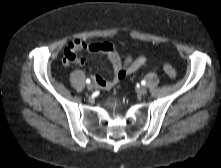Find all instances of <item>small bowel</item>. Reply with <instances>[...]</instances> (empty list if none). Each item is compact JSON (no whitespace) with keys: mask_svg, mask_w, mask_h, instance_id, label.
Here are the masks:
<instances>
[{"mask_svg":"<svg viewBox=\"0 0 221 168\" xmlns=\"http://www.w3.org/2000/svg\"><path fill=\"white\" fill-rule=\"evenodd\" d=\"M87 51L94 54H102L113 69V77L111 79H104L100 76L94 77L95 84L104 89L109 90L114 87L119 81L124 79L127 75L136 72L147 64V57L139 56L133 58L131 56L122 57L110 43H86L80 39L72 40L68 43L64 56L63 64L69 65L72 62L84 66L87 60L83 57H76V52Z\"/></svg>","mask_w":221,"mask_h":168,"instance_id":"obj_1","label":"small bowel"}]
</instances>
